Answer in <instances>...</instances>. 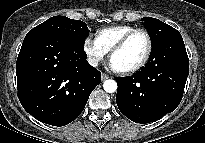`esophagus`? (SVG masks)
<instances>
[{
	"label": "esophagus",
	"mask_w": 205,
	"mask_h": 143,
	"mask_svg": "<svg viewBox=\"0 0 205 143\" xmlns=\"http://www.w3.org/2000/svg\"><path fill=\"white\" fill-rule=\"evenodd\" d=\"M108 78H110L109 75H107V74H105V73H102V74H101V79H102V81H104V80H106V79H108Z\"/></svg>",
	"instance_id": "34e87169"
}]
</instances>
